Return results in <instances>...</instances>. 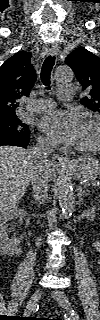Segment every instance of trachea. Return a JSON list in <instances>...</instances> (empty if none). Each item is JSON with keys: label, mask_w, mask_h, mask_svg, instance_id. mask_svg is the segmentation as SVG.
I'll use <instances>...</instances> for the list:
<instances>
[{"label": "trachea", "mask_w": 100, "mask_h": 320, "mask_svg": "<svg viewBox=\"0 0 100 320\" xmlns=\"http://www.w3.org/2000/svg\"><path fill=\"white\" fill-rule=\"evenodd\" d=\"M54 64H55V57L48 56L42 65L40 77H41L42 83L44 84V86L47 87V89H50V84H51L50 76H51V71Z\"/></svg>", "instance_id": "trachea-1"}]
</instances>
